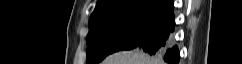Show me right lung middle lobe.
Instances as JSON below:
<instances>
[{
    "label": "right lung middle lobe",
    "mask_w": 242,
    "mask_h": 64,
    "mask_svg": "<svg viewBox=\"0 0 242 64\" xmlns=\"http://www.w3.org/2000/svg\"><path fill=\"white\" fill-rule=\"evenodd\" d=\"M165 18L149 10L118 12L89 23L86 64H98L107 55L136 48Z\"/></svg>",
    "instance_id": "1"
}]
</instances>
